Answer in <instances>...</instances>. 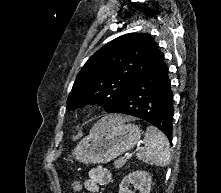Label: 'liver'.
Instances as JSON below:
<instances>
[{
	"label": "liver",
	"instance_id": "1",
	"mask_svg": "<svg viewBox=\"0 0 221 193\" xmlns=\"http://www.w3.org/2000/svg\"><path fill=\"white\" fill-rule=\"evenodd\" d=\"M128 120H130V118H128V117L110 116V117L103 118L100 122L103 126L108 127V126H113V125H116V124L124 123Z\"/></svg>",
	"mask_w": 221,
	"mask_h": 193
}]
</instances>
